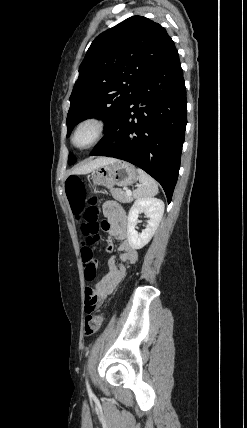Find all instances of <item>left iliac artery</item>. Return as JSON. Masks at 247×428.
<instances>
[{
  "instance_id": "left-iliac-artery-1",
  "label": "left iliac artery",
  "mask_w": 247,
  "mask_h": 428,
  "mask_svg": "<svg viewBox=\"0 0 247 428\" xmlns=\"http://www.w3.org/2000/svg\"><path fill=\"white\" fill-rule=\"evenodd\" d=\"M86 386H87L88 393L92 394L88 380H86Z\"/></svg>"
}]
</instances>
